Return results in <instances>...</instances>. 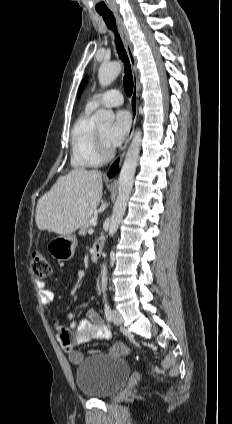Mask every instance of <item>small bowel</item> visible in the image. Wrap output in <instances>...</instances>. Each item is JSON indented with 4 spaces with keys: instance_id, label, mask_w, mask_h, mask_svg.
Masks as SVG:
<instances>
[{
    "instance_id": "small-bowel-1",
    "label": "small bowel",
    "mask_w": 232,
    "mask_h": 424,
    "mask_svg": "<svg viewBox=\"0 0 232 424\" xmlns=\"http://www.w3.org/2000/svg\"><path fill=\"white\" fill-rule=\"evenodd\" d=\"M37 289L42 304L49 306L54 299L51 288L46 283L38 281ZM66 319L70 322L69 327L56 324L57 340L73 364H79L83 359V354L75 348L77 345L97 339H109L112 336L110 328L94 310H88L87 317L80 320H75L72 313H68ZM113 345L110 348L111 353L124 354L122 348L117 350Z\"/></svg>"
}]
</instances>
